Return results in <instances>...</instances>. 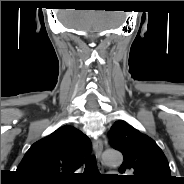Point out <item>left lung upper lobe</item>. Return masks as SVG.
<instances>
[{"mask_svg": "<svg viewBox=\"0 0 184 184\" xmlns=\"http://www.w3.org/2000/svg\"><path fill=\"white\" fill-rule=\"evenodd\" d=\"M110 145L123 154L124 161L117 176L130 184H171L167 159L156 142L123 120L110 129Z\"/></svg>", "mask_w": 184, "mask_h": 184, "instance_id": "obj_1", "label": "left lung upper lobe"}]
</instances>
